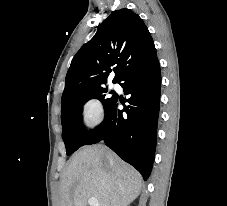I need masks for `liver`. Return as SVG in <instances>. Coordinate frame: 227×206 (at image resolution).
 Wrapping results in <instances>:
<instances>
[{
	"label": "liver",
	"instance_id": "obj_1",
	"mask_svg": "<svg viewBox=\"0 0 227 206\" xmlns=\"http://www.w3.org/2000/svg\"><path fill=\"white\" fill-rule=\"evenodd\" d=\"M142 177L103 145L81 148L71 158L59 188V206H128L140 194Z\"/></svg>",
	"mask_w": 227,
	"mask_h": 206
}]
</instances>
